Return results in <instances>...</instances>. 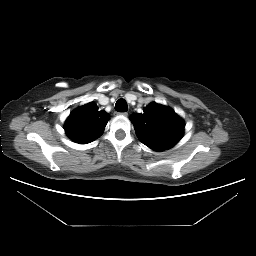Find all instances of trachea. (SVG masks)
I'll return each instance as SVG.
<instances>
[{
    "label": "trachea",
    "instance_id": "obj_1",
    "mask_svg": "<svg viewBox=\"0 0 256 256\" xmlns=\"http://www.w3.org/2000/svg\"><path fill=\"white\" fill-rule=\"evenodd\" d=\"M115 110L117 112H127L128 111V105L125 99H119L117 100L115 104Z\"/></svg>",
    "mask_w": 256,
    "mask_h": 256
}]
</instances>
